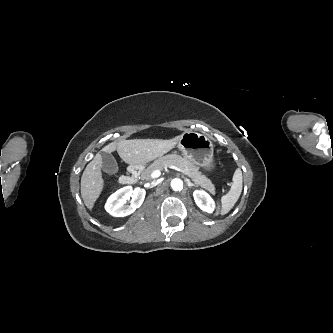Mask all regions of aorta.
<instances>
[{"label": "aorta", "instance_id": "aorta-1", "mask_svg": "<svg viewBox=\"0 0 333 333\" xmlns=\"http://www.w3.org/2000/svg\"><path fill=\"white\" fill-rule=\"evenodd\" d=\"M171 187L174 191H181L183 189V181L179 178H175L171 181Z\"/></svg>", "mask_w": 333, "mask_h": 333}]
</instances>
